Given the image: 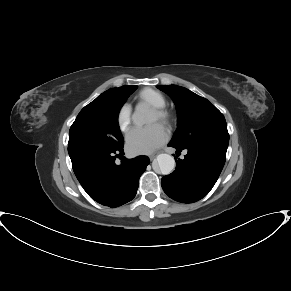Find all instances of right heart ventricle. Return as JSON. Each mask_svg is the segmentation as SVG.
Masks as SVG:
<instances>
[{"instance_id": "obj_1", "label": "right heart ventricle", "mask_w": 291, "mask_h": 291, "mask_svg": "<svg viewBox=\"0 0 291 291\" xmlns=\"http://www.w3.org/2000/svg\"><path fill=\"white\" fill-rule=\"evenodd\" d=\"M140 103H146L151 107L164 108L166 106V99L161 92L152 88H145L138 94Z\"/></svg>"}]
</instances>
